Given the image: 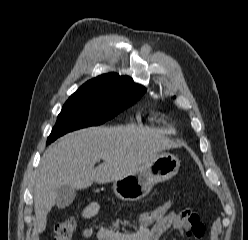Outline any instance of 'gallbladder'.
Here are the masks:
<instances>
[{
  "label": "gallbladder",
  "instance_id": "gallbladder-1",
  "mask_svg": "<svg viewBox=\"0 0 248 240\" xmlns=\"http://www.w3.org/2000/svg\"><path fill=\"white\" fill-rule=\"evenodd\" d=\"M75 197V189L70 186L63 185L57 189L56 205L59 209H65L74 201Z\"/></svg>",
  "mask_w": 248,
  "mask_h": 240
}]
</instances>
